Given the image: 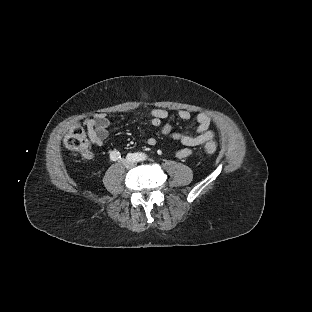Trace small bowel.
<instances>
[{"mask_svg": "<svg viewBox=\"0 0 312 312\" xmlns=\"http://www.w3.org/2000/svg\"><path fill=\"white\" fill-rule=\"evenodd\" d=\"M137 117H142L147 115L150 117V130L154 131V126L159 121H165L169 119L170 112L164 108H154L146 113H136ZM177 116L179 119L188 121L192 118V114L189 110L180 109L177 111ZM197 130L195 133H181L171 131L170 135L167 137L171 140L180 142L184 147L175 151V156L177 158H186L191 155V148L206 144L214 139V132L210 129L211 118L205 112H199L196 116ZM85 126L87 128L88 136L90 141L94 145H101L104 140L109 135L110 121L105 114H96L92 118L85 121ZM157 140L156 137L150 133L146 138V143L149 146H154ZM84 159H91L93 157V152L91 150H86L82 153Z\"/></svg>", "mask_w": 312, "mask_h": 312, "instance_id": "1", "label": "small bowel"}]
</instances>
